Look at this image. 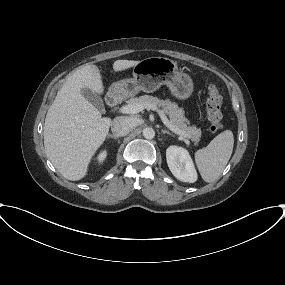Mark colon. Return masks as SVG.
<instances>
[{"mask_svg":"<svg viewBox=\"0 0 285 285\" xmlns=\"http://www.w3.org/2000/svg\"><path fill=\"white\" fill-rule=\"evenodd\" d=\"M222 98L219 88L213 83L208 84V98L206 101L207 117L210 122V130L213 133L222 129Z\"/></svg>","mask_w":285,"mask_h":285,"instance_id":"5ec220e1","label":"colon"}]
</instances>
